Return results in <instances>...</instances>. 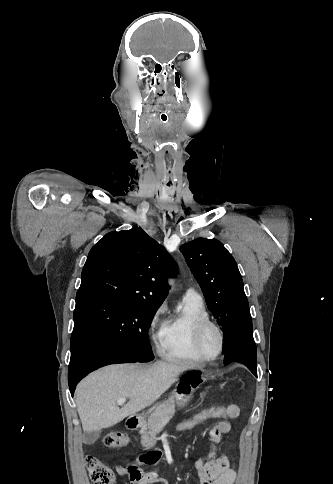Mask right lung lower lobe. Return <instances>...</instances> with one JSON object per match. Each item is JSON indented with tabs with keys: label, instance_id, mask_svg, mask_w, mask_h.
<instances>
[{
	"label": "right lung lower lobe",
	"instance_id": "obj_1",
	"mask_svg": "<svg viewBox=\"0 0 333 484\" xmlns=\"http://www.w3.org/2000/svg\"><path fill=\"white\" fill-rule=\"evenodd\" d=\"M68 382L73 396L77 383L88 373L104 365L136 362L118 342L87 324L73 330Z\"/></svg>",
	"mask_w": 333,
	"mask_h": 484
}]
</instances>
